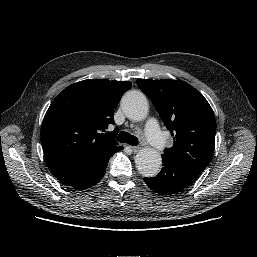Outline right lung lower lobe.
Wrapping results in <instances>:
<instances>
[{
  "label": "right lung lower lobe",
  "mask_w": 257,
  "mask_h": 257,
  "mask_svg": "<svg viewBox=\"0 0 257 257\" xmlns=\"http://www.w3.org/2000/svg\"><path fill=\"white\" fill-rule=\"evenodd\" d=\"M111 156L105 159L96 169L86 174L84 177L76 181L74 184L70 185L76 190L87 189L100 181L104 176L108 161Z\"/></svg>",
  "instance_id": "1"
}]
</instances>
